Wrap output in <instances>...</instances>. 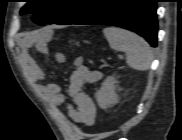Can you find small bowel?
Here are the masks:
<instances>
[{"label": "small bowel", "mask_w": 182, "mask_h": 140, "mask_svg": "<svg viewBox=\"0 0 182 140\" xmlns=\"http://www.w3.org/2000/svg\"><path fill=\"white\" fill-rule=\"evenodd\" d=\"M44 43L39 42L37 48L44 50ZM54 59L58 64H65L66 57L62 53H55ZM22 60L28 77L35 84L36 90L43 96L54 112H59L65 104L67 113L77 125L91 126L95 122L96 105L93 98L84 92L86 84H94L102 78V73L92 70L84 65L83 57H77L73 63V71L69 77L68 95L71 102L67 103L57 84L45 82V74L37 62L27 51L23 53Z\"/></svg>", "instance_id": "small-bowel-1"}]
</instances>
